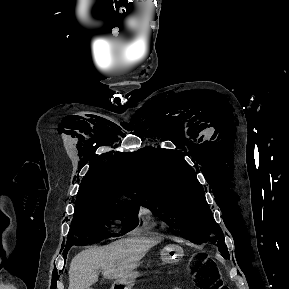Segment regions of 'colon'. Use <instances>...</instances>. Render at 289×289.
Returning <instances> with one entry per match:
<instances>
[{
  "label": "colon",
  "mask_w": 289,
  "mask_h": 289,
  "mask_svg": "<svg viewBox=\"0 0 289 289\" xmlns=\"http://www.w3.org/2000/svg\"><path fill=\"white\" fill-rule=\"evenodd\" d=\"M191 278L198 289H226L213 267L205 260L191 268Z\"/></svg>",
  "instance_id": "5ec220e1"
}]
</instances>
